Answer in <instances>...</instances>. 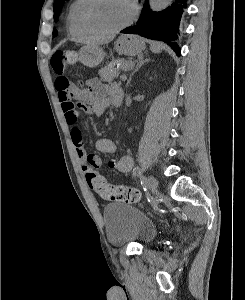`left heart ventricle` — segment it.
I'll return each mask as SVG.
<instances>
[{
	"instance_id": "1",
	"label": "left heart ventricle",
	"mask_w": 245,
	"mask_h": 300,
	"mask_svg": "<svg viewBox=\"0 0 245 300\" xmlns=\"http://www.w3.org/2000/svg\"><path fill=\"white\" fill-rule=\"evenodd\" d=\"M131 14L128 0H94L88 9L87 19L94 28L110 30L124 24Z\"/></svg>"
}]
</instances>
